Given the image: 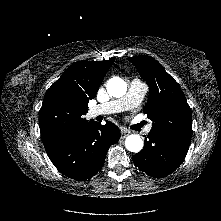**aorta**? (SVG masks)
Masks as SVG:
<instances>
[{
    "label": "aorta",
    "instance_id": "1",
    "mask_svg": "<svg viewBox=\"0 0 221 221\" xmlns=\"http://www.w3.org/2000/svg\"><path fill=\"white\" fill-rule=\"evenodd\" d=\"M110 96L119 98L126 94L127 83L120 77H113L108 80L106 85ZM125 147L130 152H139L143 148V140L139 135L131 134L125 140Z\"/></svg>",
    "mask_w": 221,
    "mask_h": 221
}]
</instances>
